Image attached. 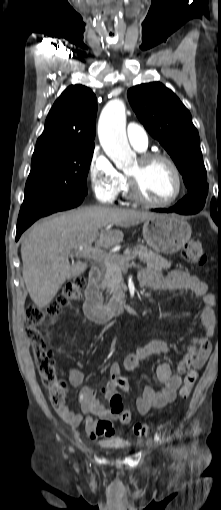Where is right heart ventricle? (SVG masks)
<instances>
[{
    "mask_svg": "<svg viewBox=\"0 0 221 510\" xmlns=\"http://www.w3.org/2000/svg\"><path fill=\"white\" fill-rule=\"evenodd\" d=\"M125 179V178H124ZM125 193H127L128 191V187H127V183H126V179H125V183H124V186H123V189Z\"/></svg>",
    "mask_w": 221,
    "mask_h": 510,
    "instance_id": "e07e8e85",
    "label": "right heart ventricle"
}]
</instances>
